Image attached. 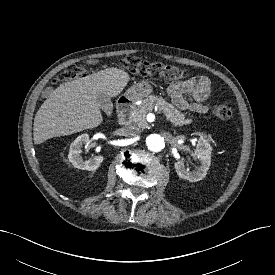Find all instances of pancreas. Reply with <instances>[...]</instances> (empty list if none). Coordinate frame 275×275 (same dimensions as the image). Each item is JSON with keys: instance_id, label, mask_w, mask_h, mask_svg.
I'll return each mask as SVG.
<instances>
[{"instance_id": "1", "label": "pancreas", "mask_w": 275, "mask_h": 275, "mask_svg": "<svg viewBox=\"0 0 275 275\" xmlns=\"http://www.w3.org/2000/svg\"><path fill=\"white\" fill-rule=\"evenodd\" d=\"M157 106L159 112H163L166 119L175 126H183L192 123V119H186L185 115L178 111L172 104L165 101L162 97L150 95L142 100L141 104L134 106L130 111L131 120L146 125V114L152 112Z\"/></svg>"}]
</instances>
